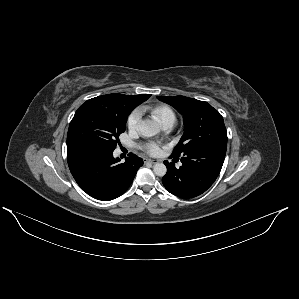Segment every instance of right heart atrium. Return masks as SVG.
Returning a JSON list of instances; mask_svg holds the SVG:
<instances>
[{
	"instance_id": "right-heart-atrium-1",
	"label": "right heart atrium",
	"mask_w": 299,
	"mask_h": 299,
	"mask_svg": "<svg viewBox=\"0 0 299 299\" xmlns=\"http://www.w3.org/2000/svg\"><path fill=\"white\" fill-rule=\"evenodd\" d=\"M142 111L135 109L127 119V127L130 131H136L141 120Z\"/></svg>"
}]
</instances>
